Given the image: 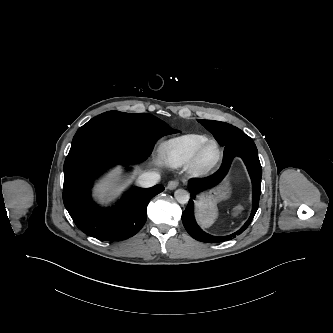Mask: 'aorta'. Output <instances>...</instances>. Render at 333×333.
I'll return each mask as SVG.
<instances>
[{"mask_svg":"<svg viewBox=\"0 0 333 333\" xmlns=\"http://www.w3.org/2000/svg\"><path fill=\"white\" fill-rule=\"evenodd\" d=\"M174 197L176 199V201L180 204H186L189 201L190 195L189 193L184 190V189H177L174 192Z\"/></svg>","mask_w":333,"mask_h":333,"instance_id":"762f6f07","label":"aorta"}]
</instances>
